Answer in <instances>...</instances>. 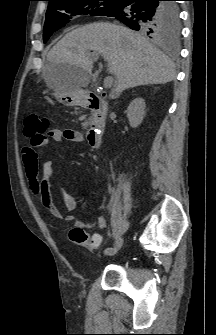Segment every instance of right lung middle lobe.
I'll list each match as a JSON object with an SVG mask.
<instances>
[{
    "label": "right lung middle lobe",
    "mask_w": 216,
    "mask_h": 335,
    "mask_svg": "<svg viewBox=\"0 0 216 335\" xmlns=\"http://www.w3.org/2000/svg\"><path fill=\"white\" fill-rule=\"evenodd\" d=\"M120 0H54L48 5L44 24V43L53 32L65 26L73 16L87 15L102 16L109 14ZM175 3V2H174ZM175 6L177 4L175 3ZM178 7V6H177ZM148 33L147 30H143ZM180 24L172 30H167L159 35L178 36ZM151 34V33H149Z\"/></svg>",
    "instance_id": "right-lung-middle-lobe-1"
}]
</instances>
